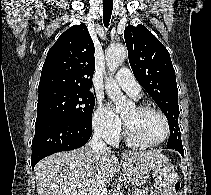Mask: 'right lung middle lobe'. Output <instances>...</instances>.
Segmentation results:
<instances>
[{"mask_svg": "<svg viewBox=\"0 0 211 195\" xmlns=\"http://www.w3.org/2000/svg\"><path fill=\"white\" fill-rule=\"evenodd\" d=\"M94 95L75 89H49L39 92L36 125L49 120L92 124Z\"/></svg>", "mask_w": 211, "mask_h": 195, "instance_id": "right-lung-middle-lobe-1", "label": "right lung middle lobe"}]
</instances>
